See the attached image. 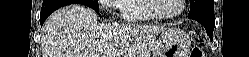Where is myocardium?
<instances>
[{"label": "myocardium", "instance_id": "f54148a6", "mask_svg": "<svg viewBox=\"0 0 249 57\" xmlns=\"http://www.w3.org/2000/svg\"><path fill=\"white\" fill-rule=\"evenodd\" d=\"M155 1L156 0H145L146 10L155 19H159V20L173 19V18L180 16L185 9V0H179L180 7H179L178 11H176L175 13L161 14V13L157 12L155 9Z\"/></svg>", "mask_w": 249, "mask_h": 57}]
</instances>
